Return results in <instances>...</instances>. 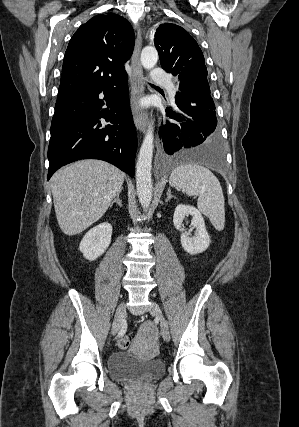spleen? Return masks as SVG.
Here are the masks:
<instances>
[{"mask_svg": "<svg viewBox=\"0 0 299 427\" xmlns=\"http://www.w3.org/2000/svg\"><path fill=\"white\" fill-rule=\"evenodd\" d=\"M169 183L187 196H198L199 210L216 230L224 229V195L219 180L209 169L198 164L181 165L172 171Z\"/></svg>", "mask_w": 299, "mask_h": 427, "instance_id": "spleen-1", "label": "spleen"}]
</instances>
